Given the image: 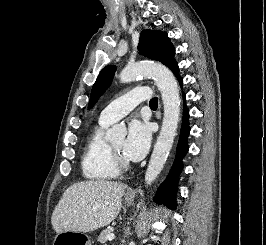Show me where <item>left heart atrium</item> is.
Returning a JSON list of instances; mask_svg holds the SVG:
<instances>
[{"label":"left heart atrium","mask_w":266,"mask_h":245,"mask_svg":"<svg viewBox=\"0 0 266 245\" xmlns=\"http://www.w3.org/2000/svg\"><path fill=\"white\" fill-rule=\"evenodd\" d=\"M150 139L151 132L147 123L139 120L130 122L122 147L123 157L131 162L141 160L149 148Z\"/></svg>","instance_id":"1"}]
</instances>
